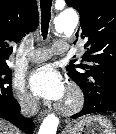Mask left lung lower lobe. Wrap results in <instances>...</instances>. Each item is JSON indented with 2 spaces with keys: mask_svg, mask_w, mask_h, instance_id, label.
<instances>
[{
  "mask_svg": "<svg viewBox=\"0 0 116 134\" xmlns=\"http://www.w3.org/2000/svg\"><path fill=\"white\" fill-rule=\"evenodd\" d=\"M99 112H116V97L103 96L93 100H85L81 112L73 115L72 118Z\"/></svg>",
  "mask_w": 116,
  "mask_h": 134,
  "instance_id": "0a47b994",
  "label": "left lung lower lobe"
}]
</instances>
